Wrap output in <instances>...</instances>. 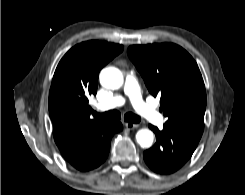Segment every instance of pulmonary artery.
Wrapping results in <instances>:
<instances>
[{
  "instance_id": "pulmonary-artery-1",
  "label": "pulmonary artery",
  "mask_w": 245,
  "mask_h": 195,
  "mask_svg": "<svg viewBox=\"0 0 245 195\" xmlns=\"http://www.w3.org/2000/svg\"><path fill=\"white\" fill-rule=\"evenodd\" d=\"M124 92L131 101L134 109L137 113L155 125L163 124V117L155 110L154 107L147 104L141 95L139 85L132 74H127L124 84ZM125 103V99L122 96H114L100 104H98L99 110H108L116 107H120Z\"/></svg>"
}]
</instances>
